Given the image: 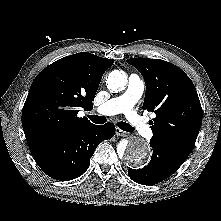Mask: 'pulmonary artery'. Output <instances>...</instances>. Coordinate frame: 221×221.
I'll return each mask as SVG.
<instances>
[{
  "label": "pulmonary artery",
  "instance_id": "1",
  "mask_svg": "<svg viewBox=\"0 0 221 221\" xmlns=\"http://www.w3.org/2000/svg\"><path fill=\"white\" fill-rule=\"evenodd\" d=\"M144 90V80L138 75L132 74L128 78L125 92L101 104L96 109V112L106 116L123 113L139 135L142 137H150L153 134L151 127L134 110V106L142 97Z\"/></svg>",
  "mask_w": 221,
  "mask_h": 221
}]
</instances>
